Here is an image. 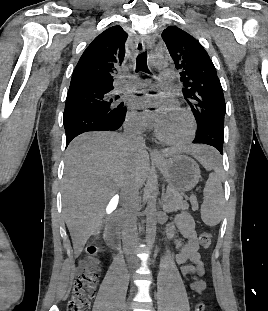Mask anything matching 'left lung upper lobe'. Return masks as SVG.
Segmentation results:
<instances>
[{"label": "left lung upper lobe", "instance_id": "obj_1", "mask_svg": "<svg viewBox=\"0 0 268 311\" xmlns=\"http://www.w3.org/2000/svg\"><path fill=\"white\" fill-rule=\"evenodd\" d=\"M162 38L179 70L182 92L197 122L213 126L216 114L226 112L223 89L216 69L203 46L182 29L169 26Z\"/></svg>", "mask_w": 268, "mask_h": 311}]
</instances>
